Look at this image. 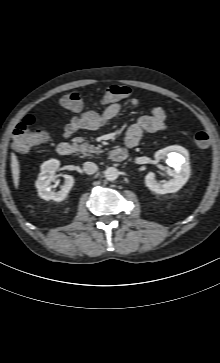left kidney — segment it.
Returning <instances> with one entry per match:
<instances>
[{
  "mask_svg": "<svg viewBox=\"0 0 220 363\" xmlns=\"http://www.w3.org/2000/svg\"><path fill=\"white\" fill-rule=\"evenodd\" d=\"M154 157L156 160L167 157L166 163L173 168L170 169V172L174 179L161 184L155 179V174L149 172L145 176V185L157 194L177 192L187 182L190 176L189 155L187 150L181 146H169L155 152Z\"/></svg>",
  "mask_w": 220,
  "mask_h": 363,
  "instance_id": "5707ae66",
  "label": "left kidney"
}]
</instances>
